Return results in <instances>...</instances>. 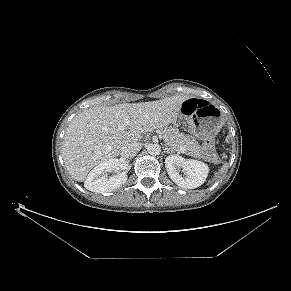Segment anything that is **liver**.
Masks as SVG:
<instances>
[{
    "instance_id": "obj_1",
    "label": "liver",
    "mask_w": 291,
    "mask_h": 291,
    "mask_svg": "<svg viewBox=\"0 0 291 291\" xmlns=\"http://www.w3.org/2000/svg\"><path fill=\"white\" fill-rule=\"evenodd\" d=\"M188 96L162 100L99 106L76 115L66 129L62 157L70 176L83 182L89 171L117 157L127 143L138 142L142 134L174 123ZM128 120L129 131L120 130Z\"/></svg>"
}]
</instances>
